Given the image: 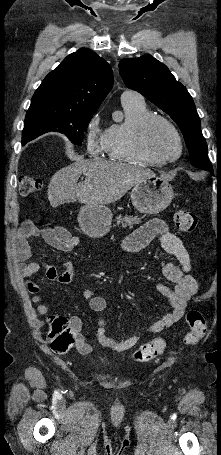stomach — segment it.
<instances>
[{
	"label": "stomach",
	"instance_id": "obj_1",
	"mask_svg": "<svg viewBox=\"0 0 221 455\" xmlns=\"http://www.w3.org/2000/svg\"><path fill=\"white\" fill-rule=\"evenodd\" d=\"M174 198L172 186L161 177H149L134 185L131 191L133 206L141 213L157 214L165 210ZM112 212L104 204L85 205L78 214L82 231L91 238H100L111 227Z\"/></svg>",
	"mask_w": 221,
	"mask_h": 455
}]
</instances>
